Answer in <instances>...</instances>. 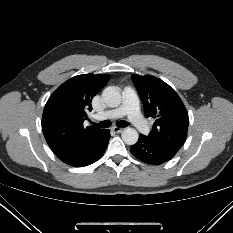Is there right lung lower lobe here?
<instances>
[{
  "label": "right lung lower lobe",
  "instance_id": "right-lung-lower-lobe-1",
  "mask_svg": "<svg viewBox=\"0 0 233 233\" xmlns=\"http://www.w3.org/2000/svg\"><path fill=\"white\" fill-rule=\"evenodd\" d=\"M109 132L108 129L103 130L80 151L62 161L75 167H84L94 163L104 154L107 148L110 139Z\"/></svg>",
  "mask_w": 233,
  "mask_h": 233
}]
</instances>
